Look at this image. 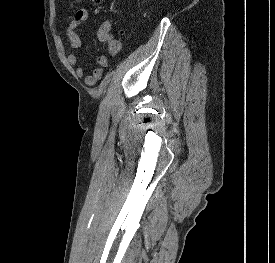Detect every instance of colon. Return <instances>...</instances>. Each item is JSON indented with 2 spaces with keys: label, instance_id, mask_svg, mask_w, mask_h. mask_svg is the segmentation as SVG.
Masks as SVG:
<instances>
[{
  "label": "colon",
  "instance_id": "1",
  "mask_svg": "<svg viewBox=\"0 0 275 263\" xmlns=\"http://www.w3.org/2000/svg\"><path fill=\"white\" fill-rule=\"evenodd\" d=\"M102 0H93L95 3H100Z\"/></svg>",
  "mask_w": 275,
  "mask_h": 263
}]
</instances>
